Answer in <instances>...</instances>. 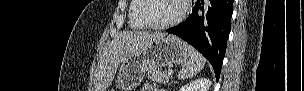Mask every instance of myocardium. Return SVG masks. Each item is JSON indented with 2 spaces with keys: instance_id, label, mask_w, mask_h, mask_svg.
<instances>
[{
  "instance_id": "1",
  "label": "myocardium",
  "mask_w": 304,
  "mask_h": 91,
  "mask_svg": "<svg viewBox=\"0 0 304 91\" xmlns=\"http://www.w3.org/2000/svg\"><path fill=\"white\" fill-rule=\"evenodd\" d=\"M179 1L180 5V11L179 14L171 21L164 23V24H153L149 22L146 17H145V9L147 6V0H139L140 2V7L138 10V16L140 21L149 29H154V30H164V29H169L172 28L176 25H178L186 16L188 6H187V1L186 0H177Z\"/></svg>"
}]
</instances>
